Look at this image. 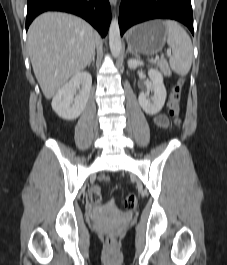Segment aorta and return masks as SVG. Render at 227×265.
Instances as JSON below:
<instances>
[{"mask_svg":"<svg viewBox=\"0 0 227 265\" xmlns=\"http://www.w3.org/2000/svg\"><path fill=\"white\" fill-rule=\"evenodd\" d=\"M109 46L112 55L117 58L121 53V36L118 19L115 17L112 19L109 27Z\"/></svg>","mask_w":227,"mask_h":265,"instance_id":"762f6f07","label":"aorta"}]
</instances>
